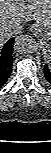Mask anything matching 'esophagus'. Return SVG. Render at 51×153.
<instances>
[{"label": "esophagus", "mask_w": 51, "mask_h": 153, "mask_svg": "<svg viewBox=\"0 0 51 153\" xmlns=\"http://www.w3.org/2000/svg\"><path fill=\"white\" fill-rule=\"evenodd\" d=\"M31 32H32L35 36H37V35L39 34V32H40V29L38 28L37 25H33V26L31 27Z\"/></svg>", "instance_id": "obj_1"}]
</instances>
